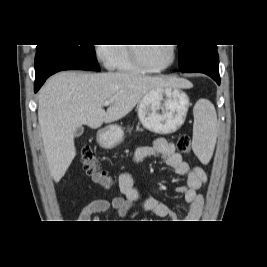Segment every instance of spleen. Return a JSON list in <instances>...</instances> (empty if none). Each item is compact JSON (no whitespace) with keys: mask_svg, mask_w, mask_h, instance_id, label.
<instances>
[{"mask_svg":"<svg viewBox=\"0 0 267 267\" xmlns=\"http://www.w3.org/2000/svg\"><path fill=\"white\" fill-rule=\"evenodd\" d=\"M217 137V115L214 107L203 103L197 108L193 128L192 148L198 158L207 163L213 153Z\"/></svg>","mask_w":267,"mask_h":267,"instance_id":"3e777b00","label":"spleen"}]
</instances>
